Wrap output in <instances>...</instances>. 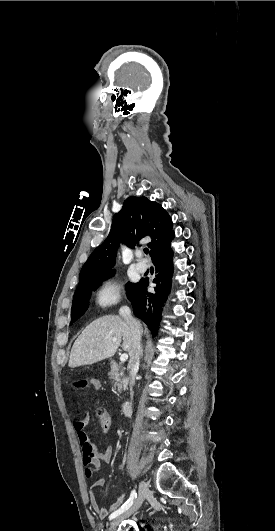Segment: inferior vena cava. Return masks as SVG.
<instances>
[{"mask_svg":"<svg viewBox=\"0 0 275 531\" xmlns=\"http://www.w3.org/2000/svg\"><path fill=\"white\" fill-rule=\"evenodd\" d=\"M120 315H122L123 319H125L128 325H130L132 333L131 345L129 349L130 359L128 363V369L130 377V391H133L136 373L139 369V359L141 351V331L137 321H135V319L131 317L130 309H128V307H122V309H120Z\"/></svg>","mask_w":275,"mask_h":531,"instance_id":"inferior-vena-cava-1","label":"inferior vena cava"}]
</instances>
